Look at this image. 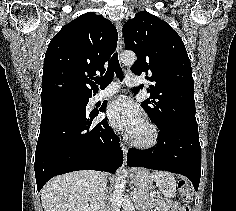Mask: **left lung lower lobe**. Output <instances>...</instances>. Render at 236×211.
<instances>
[{
  "instance_id": "0a47b994",
  "label": "left lung lower lobe",
  "mask_w": 236,
  "mask_h": 211,
  "mask_svg": "<svg viewBox=\"0 0 236 211\" xmlns=\"http://www.w3.org/2000/svg\"><path fill=\"white\" fill-rule=\"evenodd\" d=\"M158 144L148 150L129 149L127 165L165 170L189 178L197 191L201 173V146L198 129H160Z\"/></svg>"
}]
</instances>
